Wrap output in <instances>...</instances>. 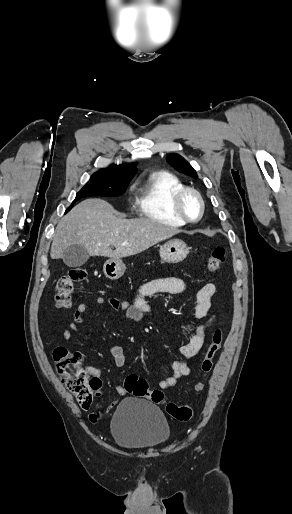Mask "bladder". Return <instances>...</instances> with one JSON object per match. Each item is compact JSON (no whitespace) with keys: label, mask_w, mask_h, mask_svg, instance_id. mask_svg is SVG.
I'll list each match as a JSON object with an SVG mask.
<instances>
[{"label":"bladder","mask_w":292,"mask_h":514,"mask_svg":"<svg viewBox=\"0 0 292 514\" xmlns=\"http://www.w3.org/2000/svg\"><path fill=\"white\" fill-rule=\"evenodd\" d=\"M111 432L120 447L131 450L155 448L171 436L170 425L159 407L138 398L125 399L118 405Z\"/></svg>","instance_id":"1"}]
</instances>
